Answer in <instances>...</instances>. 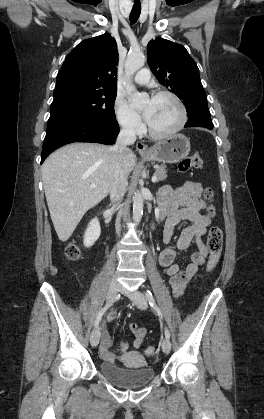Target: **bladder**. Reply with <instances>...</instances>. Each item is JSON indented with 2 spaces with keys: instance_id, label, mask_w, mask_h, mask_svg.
<instances>
[{
  "instance_id": "31cf9c89",
  "label": "bladder",
  "mask_w": 264,
  "mask_h": 419,
  "mask_svg": "<svg viewBox=\"0 0 264 419\" xmlns=\"http://www.w3.org/2000/svg\"><path fill=\"white\" fill-rule=\"evenodd\" d=\"M99 369L108 380L124 389L143 387L155 378V370L145 364L137 367H122L103 361L99 364Z\"/></svg>"
}]
</instances>
